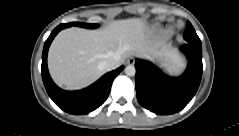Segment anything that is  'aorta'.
<instances>
[{
    "mask_svg": "<svg viewBox=\"0 0 239 136\" xmlns=\"http://www.w3.org/2000/svg\"><path fill=\"white\" fill-rule=\"evenodd\" d=\"M124 71L127 76H134L136 74V69L133 65L126 66Z\"/></svg>",
    "mask_w": 239,
    "mask_h": 136,
    "instance_id": "obj_1",
    "label": "aorta"
}]
</instances>
